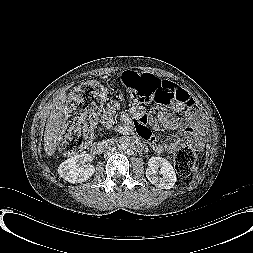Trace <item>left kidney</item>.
Listing matches in <instances>:
<instances>
[{
	"label": "left kidney",
	"instance_id": "5707ae66",
	"mask_svg": "<svg viewBox=\"0 0 253 253\" xmlns=\"http://www.w3.org/2000/svg\"><path fill=\"white\" fill-rule=\"evenodd\" d=\"M146 178L161 189L172 188L177 180L173 166L162 157H151L149 159Z\"/></svg>",
	"mask_w": 253,
	"mask_h": 253
}]
</instances>
